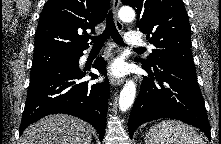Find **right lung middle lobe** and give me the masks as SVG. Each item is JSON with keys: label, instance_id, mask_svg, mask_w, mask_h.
<instances>
[{"label": "right lung middle lobe", "instance_id": "1", "mask_svg": "<svg viewBox=\"0 0 221 144\" xmlns=\"http://www.w3.org/2000/svg\"><path fill=\"white\" fill-rule=\"evenodd\" d=\"M77 53H62L56 51L36 53L33 55L31 78L38 76L48 70L73 61Z\"/></svg>", "mask_w": 221, "mask_h": 144}]
</instances>
